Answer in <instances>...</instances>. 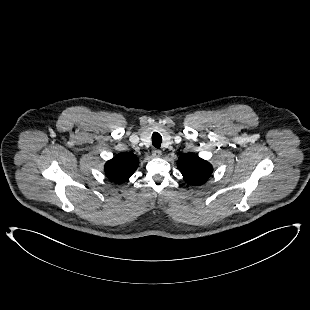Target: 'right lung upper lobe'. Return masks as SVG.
I'll return each mask as SVG.
<instances>
[{"label": "right lung upper lobe", "instance_id": "obj_1", "mask_svg": "<svg viewBox=\"0 0 310 310\" xmlns=\"http://www.w3.org/2000/svg\"><path fill=\"white\" fill-rule=\"evenodd\" d=\"M138 161L134 154L120 153L106 162L105 174L114 183L126 181L137 169Z\"/></svg>", "mask_w": 310, "mask_h": 310}]
</instances>
